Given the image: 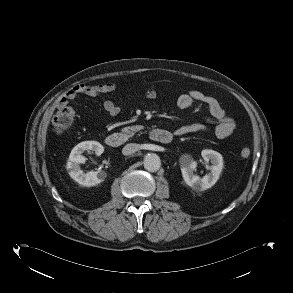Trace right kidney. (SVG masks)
Here are the masks:
<instances>
[{"instance_id": "1", "label": "right kidney", "mask_w": 293, "mask_h": 293, "mask_svg": "<svg viewBox=\"0 0 293 293\" xmlns=\"http://www.w3.org/2000/svg\"><path fill=\"white\" fill-rule=\"evenodd\" d=\"M87 150L94 151L97 155H101L104 152V147L97 141H84L76 145L69 156L67 162V170L70 177L78 184L86 187H91L100 184L106 178L104 171H89L84 173L80 164L85 163L86 158L82 156Z\"/></svg>"}]
</instances>
